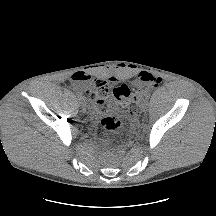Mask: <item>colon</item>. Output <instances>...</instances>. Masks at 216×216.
Listing matches in <instances>:
<instances>
[{"label":"colon","mask_w":216,"mask_h":216,"mask_svg":"<svg viewBox=\"0 0 216 216\" xmlns=\"http://www.w3.org/2000/svg\"><path fill=\"white\" fill-rule=\"evenodd\" d=\"M141 80L153 83L154 86H158L160 83L159 79L146 73L141 75ZM84 93L100 109L106 108L109 98L112 96L117 103L124 105L130 114L137 113L140 104L146 97V92L142 90L131 93L123 86L112 89L109 81L102 78L93 79ZM101 126L106 132L113 135H119L123 130L122 122L117 114L104 117L101 120Z\"/></svg>","instance_id":"obj_1"}]
</instances>
